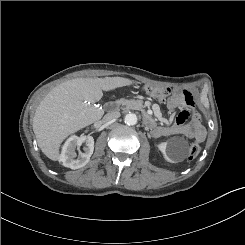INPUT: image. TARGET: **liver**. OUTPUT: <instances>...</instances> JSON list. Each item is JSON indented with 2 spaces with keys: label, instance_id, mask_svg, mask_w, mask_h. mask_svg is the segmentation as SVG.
Masks as SVG:
<instances>
[{
  "label": "liver",
  "instance_id": "liver-1",
  "mask_svg": "<svg viewBox=\"0 0 245 245\" xmlns=\"http://www.w3.org/2000/svg\"><path fill=\"white\" fill-rule=\"evenodd\" d=\"M123 77L75 78L57 85L40 102L33 117V131L41 151L59 160L61 143L71 134L98 121L103 109L94 104L111 91L132 85Z\"/></svg>",
  "mask_w": 245,
  "mask_h": 245
}]
</instances>
